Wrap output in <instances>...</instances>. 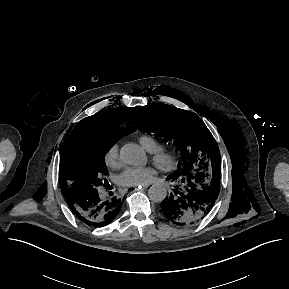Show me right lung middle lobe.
<instances>
[{
	"label": "right lung middle lobe",
	"mask_w": 289,
	"mask_h": 289,
	"mask_svg": "<svg viewBox=\"0 0 289 289\" xmlns=\"http://www.w3.org/2000/svg\"><path fill=\"white\" fill-rule=\"evenodd\" d=\"M123 136L116 131L85 134L75 141L63 158L60 176L65 198L81 197L97 191L106 174L104 157Z\"/></svg>",
	"instance_id": "right-lung-middle-lobe-1"
}]
</instances>
